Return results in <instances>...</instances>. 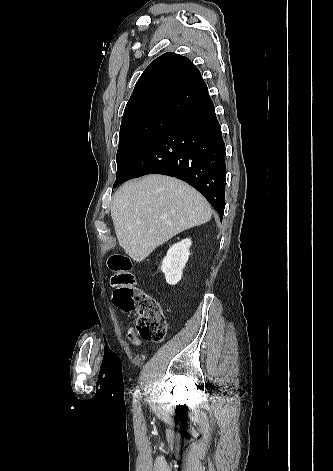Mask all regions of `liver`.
Instances as JSON below:
<instances>
[{
	"label": "liver",
	"instance_id": "6515ba94",
	"mask_svg": "<svg viewBox=\"0 0 333 471\" xmlns=\"http://www.w3.org/2000/svg\"><path fill=\"white\" fill-rule=\"evenodd\" d=\"M211 216V207L199 192L159 174L125 183L111 206L118 241L136 262L178 233L205 224Z\"/></svg>",
	"mask_w": 333,
	"mask_h": 471
}]
</instances>
